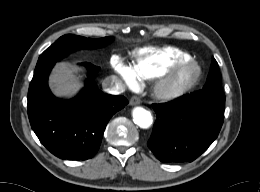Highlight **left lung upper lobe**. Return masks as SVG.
Listing matches in <instances>:
<instances>
[{
    "label": "left lung upper lobe",
    "instance_id": "obj_1",
    "mask_svg": "<svg viewBox=\"0 0 260 192\" xmlns=\"http://www.w3.org/2000/svg\"><path fill=\"white\" fill-rule=\"evenodd\" d=\"M218 88L222 89L221 74L219 72L218 63L215 59L212 60L211 69L207 78V82L203 89Z\"/></svg>",
    "mask_w": 260,
    "mask_h": 192
}]
</instances>
